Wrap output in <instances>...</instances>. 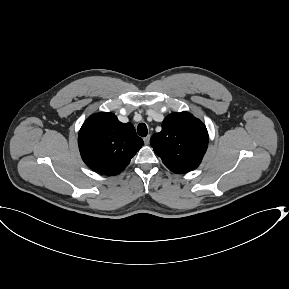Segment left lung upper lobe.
Here are the masks:
<instances>
[{
  "label": "left lung upper lobe",
  "mask_w": 289,
  "mask_h": 289,
  "mask_svg": "<svg viewBox=\"0 0 289 289\" xmlns=\"http://www.w3.org/2000/svg\"><path fill=\"white\" fill-rule=\"evenodd\" d=\"M155 153L174 173L196 169L208 146L206 126L188 112L172 113L150 140Z\"/></svg>",
  "instance_id": "obj_1"
}]
</instances>
